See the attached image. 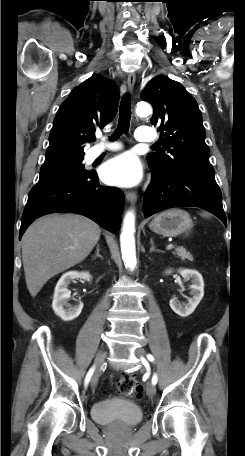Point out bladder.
Returning a JSON list of instances; mask_svg holds the SVG:
<instances>
[{
	"mask_svg": "<svg viewBox=\"0 0 245 456\" xmlns=\"http://www.w3.org/2000/svg\"><path fill=\"white\" fill-rule=\"evenodd\" d=\"M91 417L102 425L131 427L141 422L143 411L132 401L119 398L107 399L91 407Z\"/></svg>",
	"mask_w": 245,
	"mask_h": 456,
	"instance_id": "1",
	"label": "bladder"
}]
</instances>
